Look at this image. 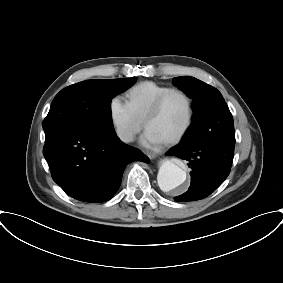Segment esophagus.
I'll use <instances>...</instances> for the list:
<instances>
[{"mask_svg": "<svg viewBox=\"0 0 283 283\" xmlns=\"http://www.w3.org/2000/svg\"><path fill=\"white\" fill-rule=\"evenodd\" d=\"M147 156L150 158V159H154L157 155L155 153H148Z\"/></svg>", "mask_w": 283, "mask_h": 283, "instance_id": "esophagus-1", "label": "esophagus"}]
</instances>
